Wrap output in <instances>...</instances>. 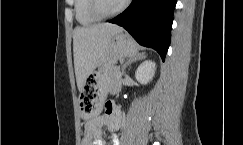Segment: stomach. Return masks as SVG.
Instances as JSON below:
<instances>
[{
  "label": "stomach",
  "instance_id": "stomach-1",
  "mask_svg": "<svg viewBox=\"0 0 243 145\" xmlns=\"http://www.w3.org/2000/svg\"><path fill=\"white\" fill-rule=\"evenodd\" d=\"M137 55V46L125 34L113 36L111 43L95 69L83 82V90L78 97L80 113L90 119L98 116L101 106H104L105 94L111 81V72L119 59ZM113 85V84H112Z\"/></svg>",
  "mask_w": 243,
  "mask_h": 145
}]
</instances>
